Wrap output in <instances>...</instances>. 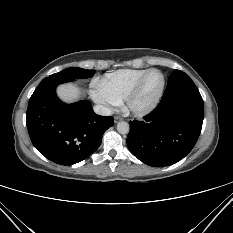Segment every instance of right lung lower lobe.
<instances>
[{"instance_id": "1", "label": "right lung lower lobe", "mask_w": 233, "mask_h": 233, "mask_svg": "<svg viewBox=\"0 0 233 233\" xmlns=\"http://www.w3.org/2000/svg\"><path fill=\"white\" fill-rule=\"evenodd\" d=\"M72 81L47 77L32 94L26 124L33 145L47 159L72 165L91 155L101 144L103 133L113 125L112 116L94 113L87 100L73 104L60 101L57 85Z\"/></svg>"}]
</instances>
